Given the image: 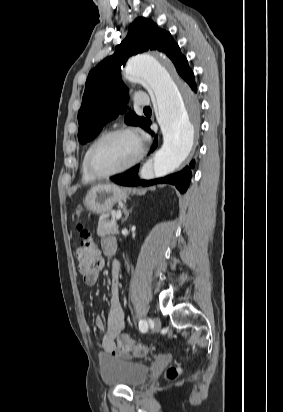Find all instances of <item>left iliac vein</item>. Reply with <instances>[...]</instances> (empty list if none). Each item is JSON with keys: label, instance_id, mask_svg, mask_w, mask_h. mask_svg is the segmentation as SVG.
Listing matches in <instances>:
<instances>
[{"label": "left iliac vein", "instance_id": "4c4485c4", "mask_svg": "<svg viewBox=\"0 0 283 412\" xmlns=\"http://www.w3.org/2000/svg\"><path fill=\"white\" fill-rule=\"evenodd\" d=\"M161 329V321L158 317L153 318V332L157 333Z\"/></svg>", "mask_w": 283, "mask_h": 412}]
</instances>
